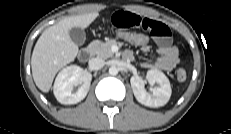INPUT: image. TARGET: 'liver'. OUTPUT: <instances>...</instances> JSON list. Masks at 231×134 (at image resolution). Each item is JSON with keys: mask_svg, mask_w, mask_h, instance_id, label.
Here are the masks:
<instances>
[{"mask_svg": "<svg viewBox=\"0 0 231 134\" xmlns=\"http://www.w3.org/2000/svg\"><path fill=\"white\" fill-rule=\"evenodd\" d=\"M98 16V12H91L66 17L43 31L31 57L33 79L42 92H49L56 73L77 56L78 46L71 40L69 30L85 29Z\"/></svg>", "mask_w": 231, "mask_h": 134, "instance_id": "1", "label": "liver"}]
</instances>
